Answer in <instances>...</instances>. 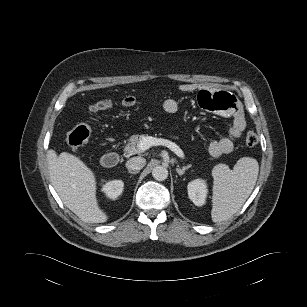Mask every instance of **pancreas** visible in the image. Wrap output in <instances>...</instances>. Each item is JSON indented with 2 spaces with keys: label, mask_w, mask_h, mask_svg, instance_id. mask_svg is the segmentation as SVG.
Returning a JSON list of instances; mask_svg holds the SVG:
<instances>
[{
  "label": "pancreas",
  "mask_w": 307,
  "mask_h": 307,
  "mask_svg": "<svg viewBox=\"0 0 307 307\" xmlns=\"http://www.w3.org/2000/svg\"><path fill=\"white\" fill-rule=\"evenodd\" d=\"M144 135H132L129 142L124 148V156L130 157L131 155L140 154L142 151L139 149V143Z\"/></svg>",
  "instance_id": "pancreas-1"
}]
</instances>
